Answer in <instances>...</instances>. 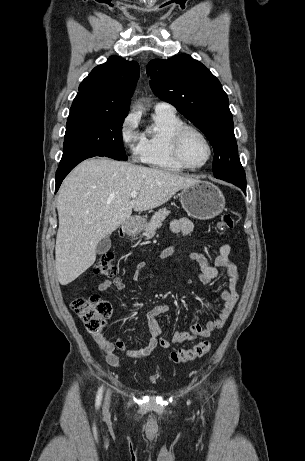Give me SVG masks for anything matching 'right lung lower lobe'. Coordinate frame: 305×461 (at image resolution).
Masks as SVG:
<instances>
[{"instance_id": "right-lung-lower-lobe-1", "label": "right lung lower lobe", "mask_w": 305, "mask_h": 461, "mask_svg": "<svg viewBox=\"0 0 305 461\" xmlns=\"http://www.w3.org/2000/svg\"><path fill=\"white\" fill-rule=\"evenodd\" d=\"M85 160V158H81V159H78V160H75L71 163H68V164H59V167L57 169V172H56V190L55 192H57V190L59 189L61 183H62V180L66 177V175L77 165L79 164L81 161Z\"/></svg>"}]
</instances>
